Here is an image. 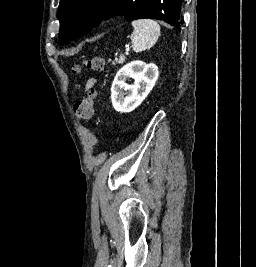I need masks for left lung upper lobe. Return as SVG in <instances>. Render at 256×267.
Returning a JSON list of instances; mask_svg holds the SVG:
<instances>
[{"mask_svg":"<svg viewBox=\"0 0 256 267\" xmlns=\"http://www.w3.org/2000/svg\"><path fill=\"white\" fill-rule=\"evenodd\" d=\"M104 12L123 13L127 21L152 18L174 27L176 23L175 0H60V43L64 45L83 36L97 24L96 21Z\"/></svg>","mask_w":256,"mask_h":267,"instance_id":"left-lung-upper-lobe-1","label":"left lung upper lobe"}]
</instances>
